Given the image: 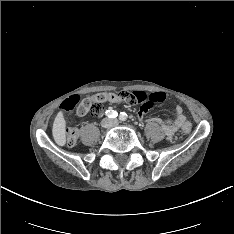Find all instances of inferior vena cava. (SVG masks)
I'll list each match as a JSON object with an SVG mask.
<instances>
[{
    "label": "inferior vena cava",
    "mask_w": 234,
    "mask_h": 234,
    "mask_svg": "<svg viewBox=\"0 0 234 234\" xmlns=\"http://www.w3.org/2000/svg\"><path fill=\"white\" fill-rule=\"evenodd\" d=\"M114 124V121H109L108 124L104 125L105 127L112 126Z\"/></svg>",
    "instance_id": "602c4592"
}]
</instances>
